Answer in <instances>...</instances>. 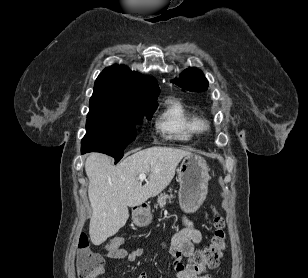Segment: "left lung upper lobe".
<instances>
[{"label":"left lung upper lobe","mask_w":308,"mask_h":278,"mask_svg":"<svg viewBox=\"0 0 308 278\" xmlns=\"http://www.w3.org/2000/svg\"><path fill=\"white\" fill-rule=\"evenodd\" d=\"M172 82L182 89L191 92L205 91L209 86L202 71L192 68L186 69L178 79H175Z\"/></svg>","instance_id":"5c2ea615"}]
</instances>
